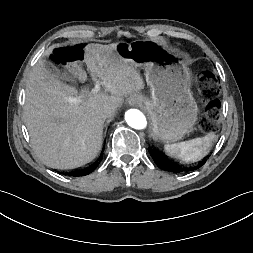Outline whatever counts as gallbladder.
<instances>
[{
	"label": "gallbladder",
	"instance_id": "1",
	"mask_svg": "<svg viewBox=\"0 0 253 253\" xmlns=\"http://www.w3.org/2000/svg\"><path fill=\"white\" fill-rule=\"evenodd\" d=\"M44 67L50 74L62 80H67V76L64 73H61L52 63L45 61Z\"/></svg>",
	"mask_w": 253,
	"mask_h": 253
}]
</instances>
